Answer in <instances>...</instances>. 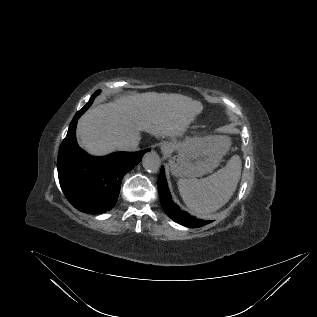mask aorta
I'll list each match as a JSON object with an SVG mask.
<instances>
[{"label":"aorta","instance_id":"obj_1","mask_svg":"<svg viewBox=\"0 0 317 317\" xmlns=\"http://www.w3.org/2000/svg\"><path fill=\"white\" fill-rule=\"evenodd\" d=\"M142 165L146 171L157 173L160 168L159 155L154 151L145 153L142 159Z\"/></svg>","mask_w":317,"mask_h":317}]
</instances>
